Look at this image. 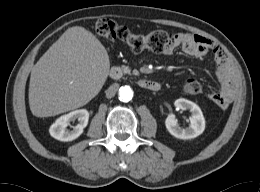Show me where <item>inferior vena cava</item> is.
Instances as JSON below:
<instances>
[{"label": "inferior vena cava", "mask_w": 260, "mask_h": 192, "mask_svg": "<svg viewBox=\"0 0 260 192\" xmlns=\"http://www.w3.org/2000/svg\"><path fill=\"white\" fill-rule=\"evenodd\" d=\"M116 91H117V85H112V86H110V87L106 90V97H107L108 99L114 97L115 94H116Z\"/></svg>", "instance_id": "inferior-vena-cava-1"}]
</instances>
